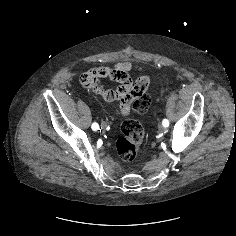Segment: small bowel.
<instances>
[{
	"label": "small bowel",
	"mask_w": 236,
	"mask_h": 236,
	"mask_svg": "<svg viewBox=\"0 0 236 236\" xmlns=\"http://www.w3.org/2000/svg\"><path fill=\"white\" fill-rule=\"evenodd\" d=\"M131 70H140V68L129 61H121L112 67H98L82 73L80 82L106 102L118 99V113L127 115L129 108L146 91L149 84L147 75H140L138 80H135V74L130 72ZM99 78H108L120 85L117 90H105L100 84Z\"/></svg>",
	"instance_id": "1"
}]
</instances>
